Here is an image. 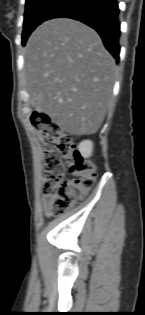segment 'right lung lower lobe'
Returning a JSON list of instances; mask_svg holds the SVG:
<instances>
[{"mask_svg": "<svg viewBox=\"0 0 145 315\" xmlns=\"http://www.w3.org/2000/svg\"><path fill=\"white\" fill-rule=\"evenodd\" d=\"M71 18L94 28L104 46L119 61L120 21L116 0H65L48 18Z\"/></svg>", "mask_w": 145, "mask_h": 315, "instance_id": "1", "label": "right lung lower lobe"}]
</instances>
